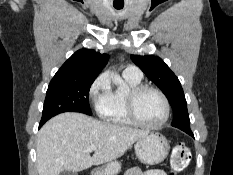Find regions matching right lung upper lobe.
<instances>
[{
    "label": "right lung upper lobe",
    "mask_w": 233,
    "mask_h": 175,
    "mask_svg": "<svg viewBox=\"0 0 233 175\" xmlns=\"http://www.w3.org/2000/svg\"><path fill=\"white\" fill-rule=\"evenodd\" d=\"M108 60L107 54H100L91 49H80L62 65L52 80L96 78Z\"/></svg>",
    "instance_id": "right-lung-upper-lobe-1"
}]
</instances>
